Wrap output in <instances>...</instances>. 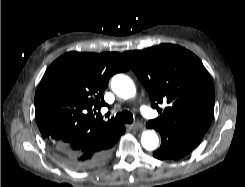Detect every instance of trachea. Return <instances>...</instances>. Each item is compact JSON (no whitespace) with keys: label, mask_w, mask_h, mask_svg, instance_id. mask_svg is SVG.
Here are the masks:
<instances>
[{"label":"trachea","mask_w":245,"mask_h":187,"mask_svg":"<svg viewBox=\"0 0 245 187\" xmlns=\"http://www.w3.org/2000/svg\"><path fill=\"white\" fill-rule=\"evenodd\" d=\"M133 115L131 112L124 110L120 113H117L115 117H112L109 121L113 124H131L133 123Z\"/></svg>","instance_id":"3493384b"}]
</instances>
